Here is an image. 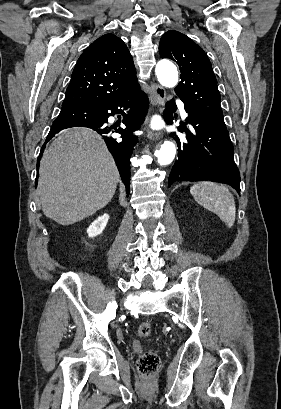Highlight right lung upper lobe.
I'll return each mask as SVG.
<instances>
[{
	"mask_svg": "<svg viewBox=\"0 0 281 409\" xmlns=\"http://www.w3.org/2000/svg\"><path fill=\"white\" fill-rule=\"evenodd\" d=\"M139 88L132 56L114 34L95 40L79 57L62 106L93 105Z\"/></svg>",
	"mask_w": 281,
	"mask_h": 409,
	"instance_id": "obj_1",
	"label": "right lung upper lobe"
}]
</instances>
